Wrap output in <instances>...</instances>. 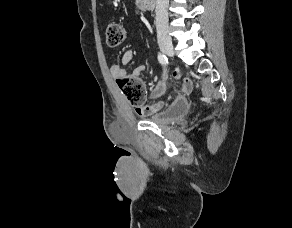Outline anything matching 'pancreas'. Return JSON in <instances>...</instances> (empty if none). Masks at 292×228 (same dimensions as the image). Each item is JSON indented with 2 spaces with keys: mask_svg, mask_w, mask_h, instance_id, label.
<instances>
[{
  "mask_svg": "<svg viewBox=\"0 0 292 228\" xmlns=\"http://www.w3.org/2000/svg\"><path fill=\"white\" fill-rule=\"evenodd\" d=\"M141 0H136V4H138Z\"/></svg>",
  "mask_w": 292,
  "mask_h": 228,
  "instance_id": "obj_1",
  "label": "pancreas"
}]
</instances>
